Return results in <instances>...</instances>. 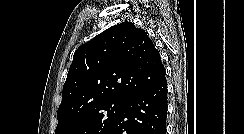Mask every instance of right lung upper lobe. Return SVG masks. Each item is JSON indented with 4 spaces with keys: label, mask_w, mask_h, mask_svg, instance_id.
<instances>
[{
    "label": "right lung upper lobe",
    "mask_w": 244,
    "mask_h": 134,
    "mask_svg": "<svg viewBox=\"0 0 244 134\" xmlns=\"http://www.w3.org/2000/svg\"><path fill=\"white\" fill-rule=\"evenodd\" d=\"M160 54L131 22L112 26L74 53L57 117H72L108 99H127L165 78Z\"/></svg>",
    "instance_id": "1"
}]
</instances>
